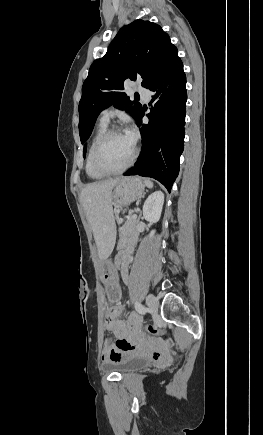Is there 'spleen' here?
<instances>
[{
    "mask_svg": "<svg viewBox=\"0 0 263 435\" xmlns=\"http://www.w3.org/2000/svg\"><path fill=\"white\" fill-rule=\"evenodd\" d=\"M144 183H145V185H146L148 188H152V187H153V182H152L151 180H149V179H145V180H144Z\"/></svg>",
    "mask_w": 263,
    "mask_h": 435,
    "instance_id": "obj_1",
    "label": "spleen"
}]
</instances>
